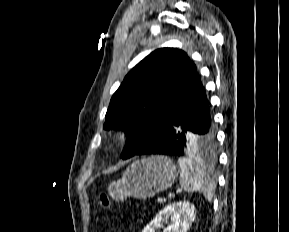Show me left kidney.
<instances>
[{"instance_id":"left-kidney-1","label":"left kidney","mask_w":289,"mask_h":232,"mask_svg":"<svg viewBox=\"0 0 289 232\" xmlns=\"http://www.w3.org/2000/svg\"><path fill=\"white\" fill-rule=\"evenodd\" d=\"M169 219L171 223L164 228L163 232H187L195 219L194 205H191L188 201H179L167 205L158 212L142 232H155Z\"/></svg>"}]
</instances>
